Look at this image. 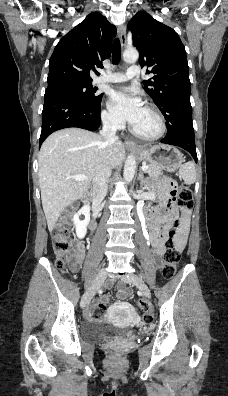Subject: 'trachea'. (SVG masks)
<instances>
[{
    "instance_id": "trachea-1",
    "label": "trachea",
    "mask_w": 228,
    "mask_h": 396,
    "mask_svg": "<svg viewBox=\"0 0 228 396\" xmlns=\"http://www.w3.org/2000/svg\"><path fill=\"white\" fill-rule=\"evenodd\" d=\"M121 58V45L118 38H116L113 42V49H112V63L118 64Z\"/></svg>"
}]
</instances>
